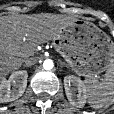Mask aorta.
I'll return each instance as SVG.
<instances>
[{"mask_svg":"<svg viewBox=\"0 0 114 114\" xmlns=\"http://www.w3.org/2000/svg\"><path fill=\"white\" fill-rule=\"evenodd\" d=\"M53 67H54V64H53L52 60L47 59L43 62V68L45 70H51V69H53Z\"/></svg>","mask_w":114,"mask_h":114,"instance_id":"762f6f07","label":"aorta"}]
</instances>
